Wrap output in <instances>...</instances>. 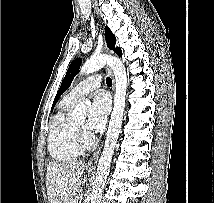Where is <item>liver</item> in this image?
<instances>
[{"label":"liver","mask_w":214,"mask_h":203,"mask_svg":"<svg viewBox=\"0 0 214 203\" xmlns=\"http://www.w3.org/2000/svg\"><path fill=\"white\" fill-rule=\"evenodd\" d=\"M85 163L81 161L50 162L47 166L46 189L49 203H67L82 189Z\"/></svg>","instance_id":"6515ba94"}]
</instances>
